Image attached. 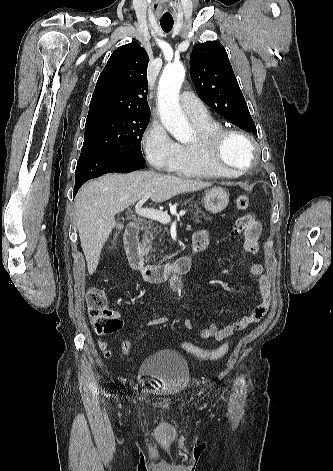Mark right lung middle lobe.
<instances>
[{
    "mask_svg": "<svg viewBox=\"0 0 333 471\" xmlns=\"http://www.w3.org/2000/svg\"><path fill=\"white\" fill-rule=\"evenodd\" d=\"M149 114L112 112L87 117L81 155L112 154L142 163L141 139Z\"/></svg>",
    "mask_w": 333,
    "mask_h": 471,
    "instance_id": "obj_1",
    "label": "right lung middle lobe"
}]
</instances>
